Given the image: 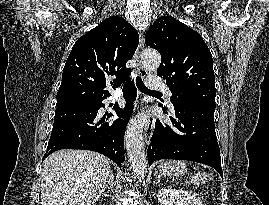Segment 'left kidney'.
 <instances>
[{"instance_id": "obj_1", "label": "left kidney", "mask_w": 269, "mask_h": 205, "mask_svg": "<svg viewBox=\"0 0 269 205\" xmlns=\"http://www.w3.org/2000/svg\"><path fill=\"white\" fill-rule=\"evenodd\" d=\"M161 205H202V202L194 195L185 190L161 188L157 194Z\"/></svg>"}]
</instances>
